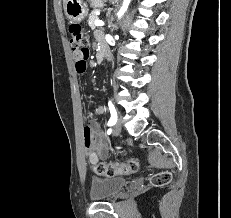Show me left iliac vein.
<instances>
[{"mask_svg": "<svg viewBox=\"0 0 231 218\" xmlns=\"http://www.w3.org/2000/svg\"><path fill=\"white\" fill-rule=\"evenodd\" d=\"M121 129H122V121H121V118H119L113 126V129H112L113 135L118 136L121 132Z\"/></svg>", "mask_w": 231, "mask_h": 218, "instance_id": "obj_1", "label": "left iliac vein"}]
</instances>
